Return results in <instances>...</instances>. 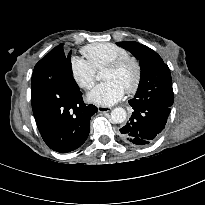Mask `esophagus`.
I'll return each mask as SVG.
<instances>
[{"instance_id":"34e87169","label":"esophagus","mask_w":205,"mask_h":205,"mask_svg":"<svg viewBox=\"0 0 205 205\" xmlns=\"http://www.w3.org/2000/svg\"><path fill=\"white\" fill-rule=\"evenodd\" d=\"M97 109H98V112H101V113L111 111L110 107H105V106H98Z\"/></svg>"}]
</instances>
